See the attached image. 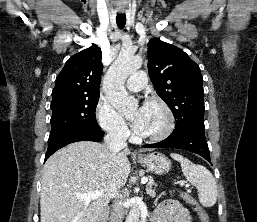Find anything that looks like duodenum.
<instances>
[{
  "instance_id": "410a0bca",
  "label": "duodenum",
  "mask_w": 257,
  "mask_h": 222,
  "mask_svg": "<svg viewBox=\"0 0 257 222\" xmlns=\"http://www.w3.org/2000/svg\"><path fill=\"white\" fill-rule=\"evenodd\" d=\"M109 210L105 209L101 215L95 220V222H107Z\"/></svg>"
}]
</instances>
